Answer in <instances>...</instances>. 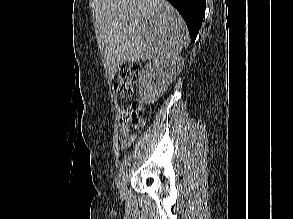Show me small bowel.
<instances>
[{
  "label": "small bowel",
  "instance_id": "c3829d8e",
  "mask_svg": "<svg viewBox=\"0 0 293 219\" xmlns=\"http://www.w3.org/2000/svg\"><path fill=\"white\" fill-rule=\"evenodd\" d=\"M135 139L134 134H130V129L122 127L120 131V142L122 148H126Z\"/></svg>",
  "mask_w": 293,
  "mask_h": 219
}]
</instances>
